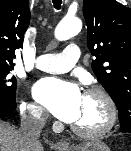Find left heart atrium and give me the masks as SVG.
<instances>
[{
	"mask_svg": "<svg viewBox=\"0 0 131 151\" xmlns=\"http://www.w3.org/2000/svg\"><path fill=\"white\" fill-rule=\"evenodd\" d=\"M34 98L60 120L73 123L80 112L83 94L73 83L43 78L33 86Z\"/></svg>",
	"mask_w": 131,
	"mask_h": 151,
	"instance_id": "obj_1",
	"label": "left heart atrium"
}]
</instances>
